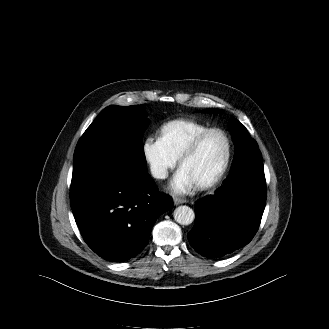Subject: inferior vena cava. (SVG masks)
Masks as SVG:
<instances>
[{"instance_id":"obj_1","label":"inferior vena cava","mask_w":329,"mask_h":329,"mask_svg":"<svg viewBox=\"0 0 329 329\" xmlns=\"http://www.w3.org/2000/svg\"><path fill=\"white\" fill-rule=\"evenodd\" d=\"M151 173L154 178L164 179L167 177V170L162 166H152Z\"/></svg>"}]
</instances>
